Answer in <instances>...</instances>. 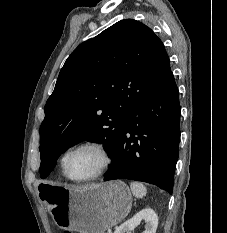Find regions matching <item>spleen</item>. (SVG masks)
<instances>
[{
  "label": "spleen",
  "instance_id": "obj_1",
  "mask_svg": "<svg viewBox=\"0 0 227 233\" xmlns=\"http://www.w3.org/2000/svg\"><path fill=\"white\" fill-rule=\"evenodd\" d=\"M130 188L136 198H143L147 193L146 187L139 182H131Z\"/></svg>",
  "mask_w": 227,
  "mask_h": 233
}]
</instances>
